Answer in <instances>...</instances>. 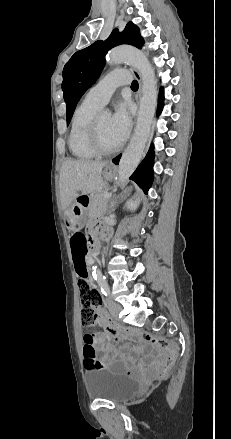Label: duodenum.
Instances as JSON below:
<instances>
[{"instance_id":"1","label":"duodenum","mask_w":231,"mask_h":439,"mask_svg":"<svg viewBox=\"0 0 231 439\" xmlns=\"http://www.w3.org/2000/svg\"><path fill=\"white\" fill-rule=\"evenodd\" d=\"M91 244H92V247H95V245H96V242H95V240L93 239V240H91Z\"/></svg>"}]
</instances>
